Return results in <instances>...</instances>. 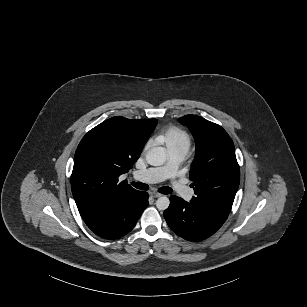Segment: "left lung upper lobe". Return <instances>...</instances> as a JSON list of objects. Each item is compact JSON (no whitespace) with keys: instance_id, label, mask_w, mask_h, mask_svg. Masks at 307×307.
<instances>
[{"instance_id":"5c2ea615","label":"left lung upper lobe","mask_w":307,"mask_h":307,"mask_svg":"<svg viewBox=\"0 0 307 307\" xmlns=\"http://www.w3.org/2000/svg\"><path fill=\"white\" fill-rule=\"evenodd\" d=\"M179 122L190 129L196 142L189 173L195 197L190 203L225 221L240 181L234 144L221 126L200 116L186 115Z\"/></svg>"}]
</instances>
